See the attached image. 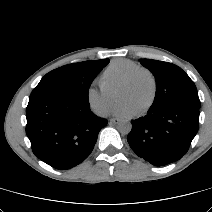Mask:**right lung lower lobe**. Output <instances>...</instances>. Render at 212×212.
<instances>
[{
	"mask_svg": "<svg viewBox=\"0 0 212 212\" xmlns=\"http://www.w3.org/2000/svg\"><path fill=\"white\" fill-rule=\"evenodd\" d=\"M26 134L37 158L58 170L85 160L107 120L90 105L65 96L41 95L29 99Z\"/></svg>",
	"mask_w": 212,
	"mask_h": 212,
	"instance_id": "1",
	"label": "right lung lower lobe"
}]
</instances>
